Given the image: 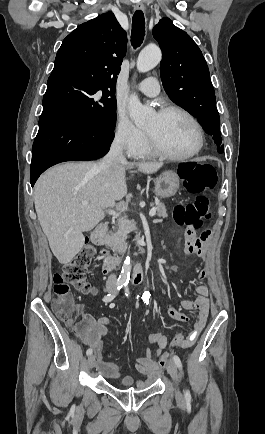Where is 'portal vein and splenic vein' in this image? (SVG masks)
I'll return each mask as SVG.
<instances>
[{
    "label": "portal vein and splenic vein",
    "mask_w": 265,
    "mask_h": 434,
    "mask_svg": "<svg viewBox=\"0 0 265 434\" xmlns=\"http://www.w3.org/2000/svg\"><path fill=\"white\" fill-rule=\"evenodd\" d=\"M82 206H88L89 202H86V200H82L81 202ZM157 208H152L149 212V216H155ZM109 216H114V218H118L120 214H117V212H114V210H108ZM121 220H124V218H121Z\"/></svg>",
    "instance_id": "18ae733b"
}]
</instances>
